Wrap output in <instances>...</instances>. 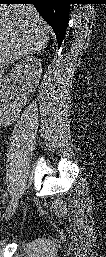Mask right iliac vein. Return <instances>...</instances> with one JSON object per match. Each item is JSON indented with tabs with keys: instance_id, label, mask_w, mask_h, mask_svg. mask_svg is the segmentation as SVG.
I'll return each instance as SVG.
<instances>
[{
	"instance_id": "63e3f726",
	"label": "right iliac vein",
	"mask_w": 106,
	"mask_h": 257,
	"mask_svg": "<svg viewBox=\"0 0 106 257\" xmlns=\"http://www.w3.org/2000/svg\"><path fill=\"white\" fill-rule=\"evenodd\" d=\"M17 207H18V200L13 199L11 204L6 209V213H5V219L6 220H9L13 216Z\"/></svg>"
}]
</instances>
